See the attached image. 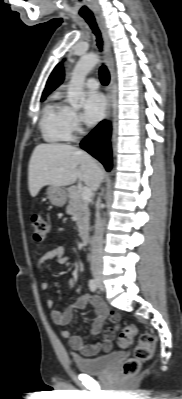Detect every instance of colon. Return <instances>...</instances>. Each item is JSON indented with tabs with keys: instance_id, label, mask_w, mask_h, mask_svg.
Masks as SVG:
<instances>
[{
	"instance_id": "5ec220e1",
	"label": "colon",
	"mask_w": 182,
	"mask_h": 399,
	"mask_svg": "<svg viewBox=\"0 0 182 399\" xmlns=\"http://www.w3.org/2000/svg\"><path fill=\"white\" fill-rule=\"evenodd\" d=\"M32 236L35 241H43L48 232L49 224L40 214H34L31 218ZM137 334V328L134 325H126L122 328L118 342L121 347H128L132 344ZM155 348V338L150 333H143L139 337V342L134 350V356L123 363L122 372L124 375L136 374L142 363L151 359Z\"/></svg>"
}]
</instances>
